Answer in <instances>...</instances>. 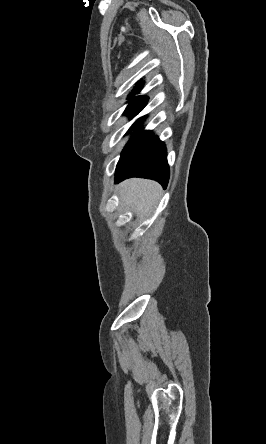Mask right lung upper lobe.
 <instances>
[{
    "mask_svg": "<svg viewBox=\"0 0 266 444\" xmlns=\"http://www.w3.org/2000/svg\"><path fill=\"white\" fill-rule=\"evenodd\" d=\"M142 85H143V84H139L138 87H135L133 93H130V95H129L128 98H129V99H131V98H146L145 96L134 97V95L140 93V90H141Z\"/></svg>",
    "mask_w": 266,
    "mask_h": 444,
    "instance_id": "1",
    "label": "right lung upper lobe"
}]
</instances>
